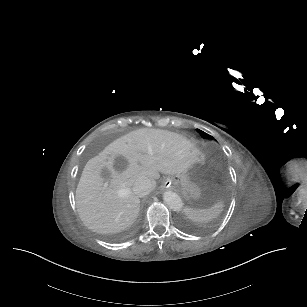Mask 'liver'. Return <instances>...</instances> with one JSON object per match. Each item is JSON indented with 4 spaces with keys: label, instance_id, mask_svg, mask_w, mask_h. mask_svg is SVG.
<instances>
[{
    "label": "liver",
    "instance_id": "1",
    "mask_svg": "<svg viewBox=\"0 0 307 307\" xmlns=\"http://www.w3.org/2000/svg\"><path fill=\"white\" fill-rule=\"evenodd\" d=\"M199 150L182 134L140 128L95 153L85 165L76 188V207L88 229L118 233L132 225L140 199L132 187L140 177L153 189L162 174H178L199 161Z\"/></svg>",
    "mask_w": 307,
    "mask_h": 307
}]
</instances>
